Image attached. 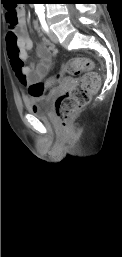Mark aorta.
<instances>
[{"mask_svg": "<svg viewBox=\"0 0 122 257\" xmlns=\"http://www.w3.org/2000/svg\"><path fill=\"white\" fill-rule=\"evenodd\" d=\"M44 4H35V12L36 13H44Z\"/></svg>", "mask_w": 122, "mask_h": 257, "instance_id": "762f6f07", "label": "aorta"}]
</instances>
